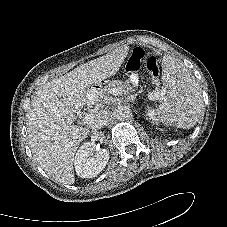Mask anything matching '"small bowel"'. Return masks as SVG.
<instances>
[{
	"instance_id": "c3829d8e",
	"label": "small bowel",
	"mask_w": 227,
	"mask_h": 227,
	"mask_svg": "<svg viewBox=\"0 0 227 227\" xmlns=\"http://www.w3.org/2000/svg\"><path fill=\"white\" fill-rule=\"evenodd\" d=\"M130 82L132 85H136L138 83V78L135 74L130 76Z\"/></svg>"
}]
</instances>
